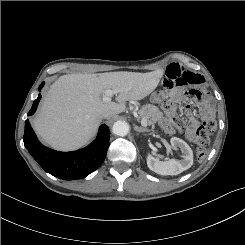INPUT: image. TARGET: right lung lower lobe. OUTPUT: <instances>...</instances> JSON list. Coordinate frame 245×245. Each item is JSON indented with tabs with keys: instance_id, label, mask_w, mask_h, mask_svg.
Listing matches in <instances>:
<instances>
[{
	"instance_id": "right-lung-lower-lobe-1",
	"label": "right lung lower lobe",
	"mask_w": 245,
	"mask_h": 245,
	"mask_svg": "<svg viewBox=\"0 0 245 245\" xmlns=\"http://www.w3.org/2000/svg\"><path fill=\"white\" fill-rule=\"evenodd\" d=\"M43 85L44 82L38 90ZM40 99L41 94L33 102L28 116L34 114ZM109 132L108 126L101 125L97 138L89 146L73 152H60L43 146L26 120L23 141L29 153L46 172L63 180H76L86 177L103 163L109 147Z\"/></svg>"
}]
</instances>
